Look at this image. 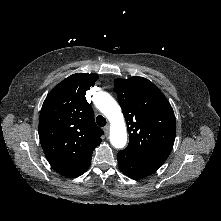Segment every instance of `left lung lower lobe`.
<instances>
[{
  "instance_id": "0a47b994",
  "label": "left lung lower lobe",
  "mask_w": 221,
  "mask_h": 221,
  "mask_svg": "<svg viewBox=\"0 0 221 221\" xmlns=\"http://www.w3.org/2000/svg\"><path fill=\"white\" fill-rule=\"evenodd\" d=\"M117 158L120 170L128 177L134 179L147 177L160 168V166L152 164L125 149L118 152Z\"/></svg>"
}]
</instances>
